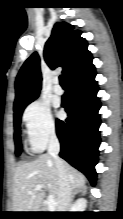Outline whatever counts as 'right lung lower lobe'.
Here are the masks:
<instances>
[{"label": "right lung lower lobe", "instance_id": "98d812e1", "mask_svg": "<svg viewBox=\"0 0 123 219\" xmlns=\"http://www.w3.org/2000/svg\"><path fill=\"white\" fill-rule=\"evenodd\" d=\"M92 59L67 78V92L62 98V107L68 114L65 121L56 120V132L61 144L60 157L86 175L92 185L96 183L95 165L98 161L101 124Z\"/></svg>", "mask_w": 123, "mask_h": 219}]
</instances>
